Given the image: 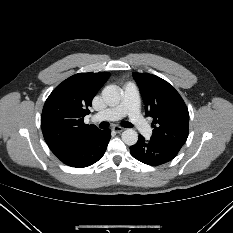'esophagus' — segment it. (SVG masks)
Returning <instances> with one entry per match:
<instances>
[{
    "label": "esophagus",
    "mask_w": 233,
    "mask_h": 233,
    "mask_svg": "<svg viewBox=\"0 0 233 233\" xmlns=\"http://www.w3.org/2000/svg\"><path fill=\"white\" fill-rule=\"evenodd\" d=\"M112 130H113L114 132L120 133V132H122V131L124 130V128H122V127H120V126H113V127H112Z\"/></svg>",
    "instance_id": "esophagus-1"
}]
</instances>
